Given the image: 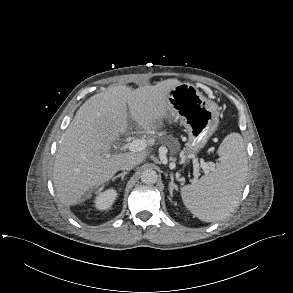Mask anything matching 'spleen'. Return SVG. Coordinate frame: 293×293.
Here are the masks:
<instances>
[{
    "label": "spleen",
    "instance_id": "3e777b00",
    "mask_svg": "<svg viewBox=\"0 0 293 293\" xmlns=\"http://www.w3.org/2000/svg\"><path fill=\"white\" fill-rule=\"evenodd\" d=\"M218 154L221 161L210 175L181 189L186 208L204 222H217L235 209L247 175L246 151L240 134L227 135Z\"/></svg>",
    "mask_w": 293,
    "mask_h": 293
}]
</instances>
